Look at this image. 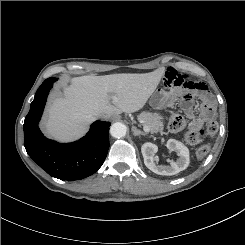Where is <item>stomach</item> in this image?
<instances>
[{"mask_svg": "<svg viewBox=\"0 0 245 245\" xmlns=\"http://www.w3.org/2000/svg\"><path fill=\"white\" fill-rule=\"evenodd\" d=\"M173 101L170 91L166 87L160 86L153 92L150 98V105L155 109H163Z\"/></svg>", "mask_w": 245, "mask_h": 245, "instance_id": "0dacf381", "label": "stomach"}]
</instances>
